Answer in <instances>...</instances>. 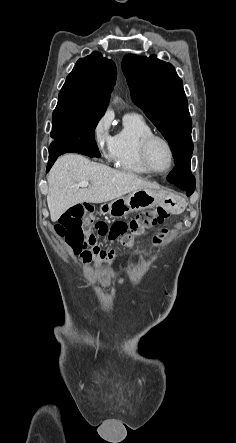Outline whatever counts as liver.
I'll return each mask as SVG.
<instances>
[{"label": "liver", "instance_id": "liver-1", "mask_svg": "<svg viewBox=\"0 0 236 443\" xmlns=\"http://www.w3.org/2000/svg\"><path fill=\"white\" fill-rule=\"evenodd\" d=\"M81 181L92 184L88 188L73 187ZM48 185L47 204L52 222L58 221L68 208L76 204L105 203L137 190L159 188L137 175L91 162L77 154L58 158L48 175Z\"/></svg>", "mask_w": 236, "mask_h": 443}]
</instances>
